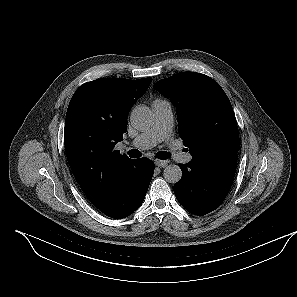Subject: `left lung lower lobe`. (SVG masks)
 Returning <instances> with one entry per match:
<instances>
[{
  "mask_svg": "<svg viewBox=\"0 0 297 297\" xmlns=\"http://www.w3.org/2000/svg\"><path fill=\"white\" fill-rule=\"evenodd\" d=\"M236 165L237 153L206 166H196L192 162L179 164L183 176L174 185L177 200L194 215L212 212L226 198L234 180Z\"/></svg>",
  "mask_w": 297,
  "mask_h": 297,
  "instance_id": "1",
  "label": "left lung lower lobe"
}]
</instances>
